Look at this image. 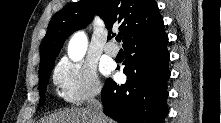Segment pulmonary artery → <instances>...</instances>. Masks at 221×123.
Segmentation results:
<instances>
[{
  "instance_id": "pulmonary-artery-1",
  "label": "pulmonary artery",
  "mask_w": 221,
  "mask_h": 123,
  "mask_svg": "<svg viewBox=\"0 0 221 123\" xmlns=\"http://www.w3.org/2000/svg\"><path fill=\"white\" fill-rule=\"evenodd\" d=\"M104 51L112 57L117 56L119 49L118 47L113 43V42H109L105 45L104 47Z\"/></svg>"
}]
</instances>
